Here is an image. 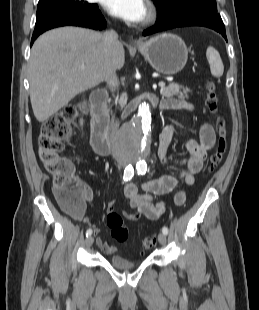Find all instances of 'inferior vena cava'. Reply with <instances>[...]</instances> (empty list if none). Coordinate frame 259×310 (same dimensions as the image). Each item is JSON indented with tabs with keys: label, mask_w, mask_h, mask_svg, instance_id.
Returning <instances> with one entry per match:
<instances>
[{
	"label": "inferior vena cava",
	"mask_w": 259,
	"mask_h": 310,
	"mask_svg": "<svg viewBox=\"0 0 259 310\" xmlns=\"http://www.w3.org/2000/svg\"><path fill=\"white\" fill-rule=\"evenodd\" d=\"M103 43H104V48L109 55V53L119 43L118 34L113 30L105 32L103 34ZM107 84L112 88V90L115 91L117 89L119 85V81L117 79L115 72L109 73V76L107 78ZM118 128H119V121L117 120L113 121L112 122V133H111L113 137L117 134Z\"/></svg>",
	"instance_id": "inferior-vena-cava-1"
}]
</instances>
